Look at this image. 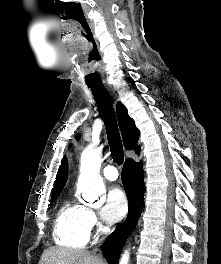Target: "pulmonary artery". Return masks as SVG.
I'll return each instance as SVG.
<instances>
[{"instance_id":"obj_1","label":"pulmonary artery","mask_w":221,"mask_h":264,"mask_svg":"<svg viewBox=\"0 0 221 264\" xmlns=\"http://www.w3.org/2000/svg\"><path fill=\"white\" fill-rule=\"evenodd\" d=\"M103 174H104L105 178L110 180V181H114L118 178V171H117L116 167L113 165H107L103 169Z\"/></svg>"}]
</instances>
